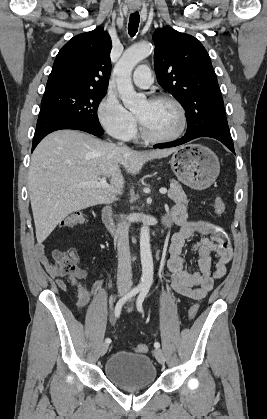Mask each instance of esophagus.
<instances>
[{
    "instance_id": "34e87169",
    "label": "esophagus",
    "mask_w": 267,
    "mask_h": 419,
    "mask_svg": "<svg viewBox=\"0 0 267 419\" xmlns=\"http://www.w3.org/2000/svg\"><path fill=\"white\" fill-rule=\"evenodd\" d=\"M137 9H138V7H136V6H132V7L130 8L131 12H135Z\"/></svg>"
}]
</instances>
